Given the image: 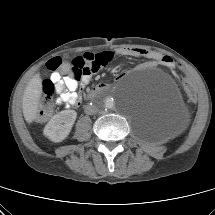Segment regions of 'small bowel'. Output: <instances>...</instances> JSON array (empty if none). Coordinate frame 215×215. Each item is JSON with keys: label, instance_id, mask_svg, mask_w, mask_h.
<instances>
[{"label": "small bowel", "instance_id": "c3829d8e", "mask_svg": "<svg viewBox=\"0 0 215 215\" xmlns=\"http://www.w3.org/2000/svg\"><path fill=\"white\" fill-rule=\"evenodd\" d=\"M118 56L146 58L148 60L146 65L150 66L173 65V60L169 56L143 48H119L98 53L87 52L79 57L83 63V72L79 79L74 75L66 77L59 73L52 74L51 78L58 94L57 103L66 106L78 105L80 102L78 88L89 84L95 74Z\"/></svg>", "mask_w": 215, "mask_h": 215}]
</instances>
